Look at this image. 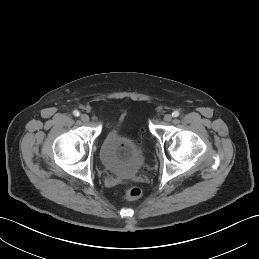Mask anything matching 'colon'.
Segmentation results:
<instances>
[{"instance_id":"5ec220e1","label":"colon","mask_w":259,"mask_h":259,"mask_svg":"<svg viewBox=\"0 0 259 259\" xmlns=\"http://www.w3.org/2000/svg\"><path fill=\"white\" fill-rule=\"evenodd\" d=\"M142 195V190L139 187H126L121 191V196L128 201L138 200Z\"/></svg>"}]
</instances>
